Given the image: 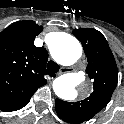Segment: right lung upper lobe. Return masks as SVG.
Segmentation results:
<instances>
[{
	"label": "right lung upper lobe",
	"instance_id": "cb5924a9",
	"mask_svg": "<svg viewBox=\"0 0 124 124\" xmlns=\"http://www.w3.org/2000/svg\"><path fill=\"white\" fill-rule=\"evenodd\" d=\"M42 31L34 21H18L0 33V110L16 111L30 101L31 96L47 83L45 75L48 53L34 45Z\"/></svg>",
	"mask_w": 124,
	"mask_h": 124
}]
</instances>
